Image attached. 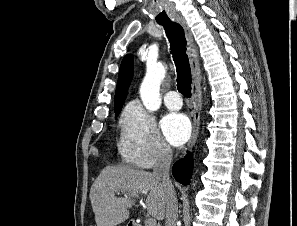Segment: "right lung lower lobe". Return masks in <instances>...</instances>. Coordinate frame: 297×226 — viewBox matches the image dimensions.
I'll use <instances>...</instances> for the list:
<instances>
[{
    "label": "right lung lower lobe",
    "mask_w": 297,
    "mask_h": 226,
    "mask_svg": "<svg viewBox=\"0 0 297 226\" xmlns=\"http://www.w3.org/2000/svg\"><path fill=\"white\" fill-rule=\"evenodd\" d=\"M193 170V159L188 153L184 159L178 160L172 168V174L174 178L181 184H190V179Z\"/></svg>",
    "instance_id": "obj_1"
}]
</instances>
